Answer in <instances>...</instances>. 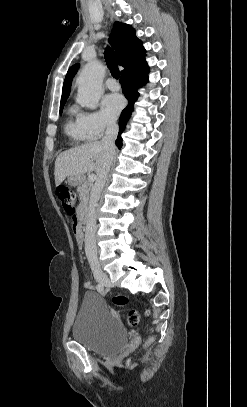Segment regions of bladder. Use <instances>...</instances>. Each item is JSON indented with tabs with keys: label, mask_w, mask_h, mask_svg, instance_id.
Returning <instances> with one entry per match:
<instances>
[{
	"label": "bladder",
	"mask_w": 247,
	"mask_h": 407,
	"mask_svg": "<svg viewBox=\"0 0 247 407\" xmlns=\"http://www.w3.org/2000/svg\"><path fill=\"white\" fill-rule=\"evenodd\" d=\"M72 336L76 342L105 355L118 353L128 341L125 326L96 293L84 295Z\"/></svg>",
	"instance_id": "bladder-1"
}]
</instances>
